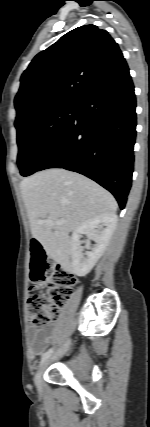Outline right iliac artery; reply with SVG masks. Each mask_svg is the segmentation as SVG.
Wrapping results in <instances>:
<instances>
[{
	"label": "right iliac artery",
	"mask_w": 150,
	"mask_h": 427,
	"mask_svg": "<svg viewBox=\"0 0 150 427\" xmlns=\"http://www.w3.org/2000/svg\"><path fill=\"white\" fill-rule=\"evenodd\" d=\"M52 352H53V348L49 349L47 352H45L43 354L41 362H40V365H42L50 357V355L52 354Z\"/></svg>",
	"instance_id": "1"
}]
</instances>
